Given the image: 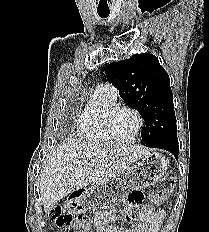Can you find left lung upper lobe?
I'll list each match as a JSON object with an SVG mask.
<instances>
[{"mask_svg": "<svg viewBox=\"0 0 209 232\" xmlns=\"http://www.w3.org/2000/svg\"><path fill=\"white\" fill-rule=\"evenodd\" d=\"M105 72L124 102L145 120L141 137L147 147L156 148L163 137L177 133L169 76L156 56L135 54L108 64Z\"/></svg>", "mask_w": 209, "mask_h": 232, "instance_id": "left-lung-upper-lobe-1", "label": "left lung upper lobe"}]
</instances>
